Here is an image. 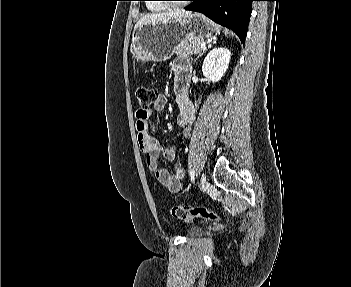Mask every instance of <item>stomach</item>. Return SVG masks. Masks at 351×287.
I'll return each instance as SVG.
<instances>
[{
	"mask_svg": "<svg viewBox=\"0 0 351 287\" xmlns=\"http://www.w3.org/2000/svg\"><path fill=\"white\" fill-rule=\"evenodd\" d=\"M219 32L218 25L198 13L178 21L144 24L133 32V55L137 61L164 62L171 58L178 44L213 38Z\"/></svg>",
	"mask_w": 351,
	"mask_h": 287,
	"instance_id": "1",
	"label": "stomach"
}]
</instances>
